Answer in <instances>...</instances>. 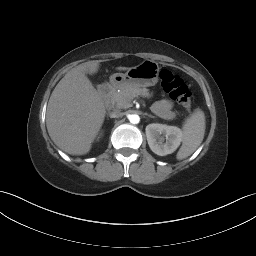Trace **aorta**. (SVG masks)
<instances>
[{
    "label": "aorta",
    "instance_id": "obj_1",
    "mask_svg": "<svg viewBox=\"0 0 256 256\" xmlns=\"http://www.w3.org/2000/svg\"><path fill=\"white\" fill-rule=\"evenodd\" d=\"M128 119L132 124H138L140 121V117L137 114L129 115Z\"/></svg>",
    "mask_w": 256,
    "mask_h": 256
}]
</instances>
